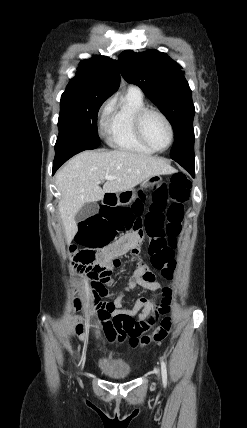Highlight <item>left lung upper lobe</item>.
Returning a JSON list of instances; mask_svg holds the SVG:
<instances>
[{
	"instance_id": "5c2ea615",
	"label": "left lung upper lobe",
	"mask_w": 247,
	"mask_h": 428,
	"mask_svg": "<svg viewBox=\"0 0 247 428\" xmlns=\"http://www.w3.org/2000/svg\"><path fill=\"white\" fill-rule=\"evenodd\" d=\"M118 63L123 78L138 85L170 121L175 133L171 158H194L195 108L180 66L157 50L123 51Z\"/></svg>"
}]
</instances>
